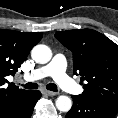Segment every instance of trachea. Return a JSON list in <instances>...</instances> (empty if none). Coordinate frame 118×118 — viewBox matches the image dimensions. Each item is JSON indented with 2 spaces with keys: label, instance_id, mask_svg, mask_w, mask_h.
I'll return each instance as SVG.
<instances>
[{
  "label": "trachea",
  "instance_id": "trachea-1",
  "mask_svg": "<svg viewBox=\"0 0 118 118\" xmlns=\"http://www.w3.org/2000/svg\"><path fill=\"white\" fill-rule=\"evenodd\" d=\"M22 86H23V88L30 89V90H33V89H37L38 88V84L37 83H32V82H28L26 84H23ZM46 88L48 90H50V91H54V92L58 91L57 86L55 84H53V83H49L46 86Z\"/></svg>",
  "mask_w": 118,
  "mask_h": 118
}]
</instances>
